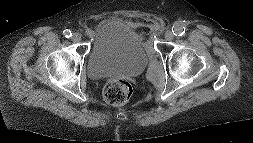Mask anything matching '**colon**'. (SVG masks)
I'll use <instances>...</instances> for the list:
<instances>
[{"instance_id":"5ec220e1","label":"colon","mask_w":253,"mask_h":143,"mask_svg":"<svg viewBox=\"0 0 253 143\" xmlns=\"http://www.w3.org/2000/svg\"><path fill=\"white\" fill-rule=\"evenodd\" d=\"M132 86L123 79L109 81L104 88V99L111 105H122L128 102L132 96Z\"/></svg>"}]
</instances>
